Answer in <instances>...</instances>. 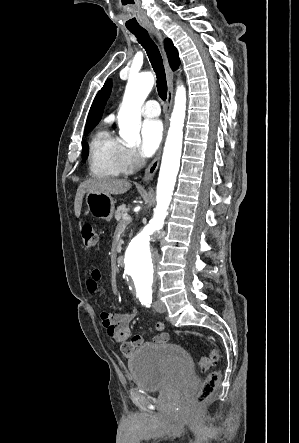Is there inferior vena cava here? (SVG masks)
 I'll return each instance as SVG.
<instances>
[{
	"label": "inferior vena cava",
	"instance_id": "1",
	"mask_svg": "<svg viewBox=\"0 0 299 443\" xmlns=\"http://www.w3.org/2000/svg\"><path fill=\"white\" fill-rule=\"evenodd\" d=\"M144 163H145V159L140 157V156H138L136 158V169L141 168L144 165Z\"/></svg>",
	"mask_w": 299,
	"mask_h": 443
}]
</instances>
